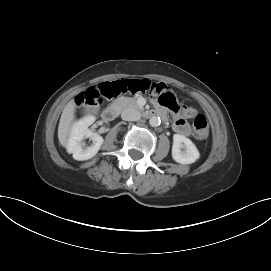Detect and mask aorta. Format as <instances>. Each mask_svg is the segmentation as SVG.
Returning <instances> with one entry per match:
<instances>
[{"instance_id":"1","label":"aorta","mask_w":271,"mask_h":271,"mask_svg":"<svg viewBox=\"0 0 271 271\" xmlns=\"http://www.w3.org/2000/svg\"><path fill=\"white\" fill-rule=\"evenodd\" d=\"M149 123L152 127H157L160 125L161 123V120L159 117L157 116H152L150 119H149Z\"/></svg>"}]
</instances>
